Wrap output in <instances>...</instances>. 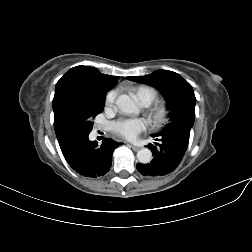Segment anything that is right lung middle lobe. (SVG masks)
<instances>
[{
  "label": "right lung middle lobe",
  "mask_w": 252,
  "mask_h": 252,
  "mask_svg": "<svg viewBox=\"0 0 252 252\" xmlns=\"http://www.w3.org/2000/svg\"><path fill=\"white\" fill-rule=\"evenodd\" d=\"M105 95H87L75 91L63 94L57 104V120L62 133L89 134L91 120L103 112Z\"/></svg>",
  "instance_id": "right-lung-middle-lobe-1"
}]
</instances>
